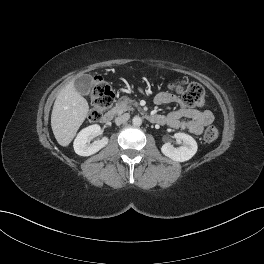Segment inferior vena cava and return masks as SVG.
<instances>
[{
  "label": "inferior vena cava",
  "mask_w": 264,
  "mask_h": 264,
  "mask_svg": "<svg viewBox=\"0 0 264 264\" xmlns=\"http://www.w3.org/2000/svg\"><path fill=\"white\" fill-rule=\"evenodd\" d=\"M129 118H130L129 113H125V114H123L121 116L116 117L115 118V123L117 125H121V124L127 122L129 120Z\"/></svg>",
  "instance_id": "602c4592"
}]
</instances>
